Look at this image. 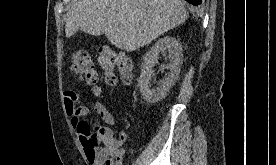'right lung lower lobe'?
Segmentation results:
<instances>
[{
    "mask_svg": "<svg viewBox=\"0 0 276 165\" xmlns=\"http://www.w3.org/2000/svg\"><path fill=\"white\" fill-rule=\"evenodd\" d=\"M186 1L193 5H200L202 3V0H186Z\"/></svg>",
    "mask_w": 276,
    "mask_h": 165,
    "instance_id": "1",
    "label": "right lung lower lobe"
}]
</instances>
